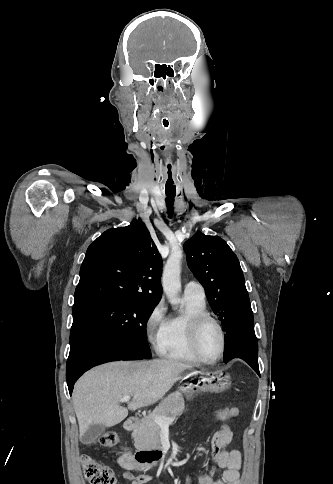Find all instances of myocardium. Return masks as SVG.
<instances>
[{"label":"myocardium","mask_w":333,"mask_h":484,"mask_svg":"<svg viewBox=\"0 0 333 484\" xmlns=\"http://www.w3.org/2000/svg\"><path fill=\"white\" fill-rule=\"evenodd\" d=\"M207 323H213L217 327L219 334H220V339H221V347H220L219 353L217 354L216 357L211 358V359L205 357L202 354L200 347H199V336H200L202 328ZM189 340H190V345H191V348H192L194 354L204 363H214V362L218 361L219 359H221L222 356L224 355L225 348H226L225 330H224L222 324L219 322V320H217L215 317H213L212 315H210L208 313L198 315L191 320L190 326H189Z\"/></svg>","instance_id":"obj_1"}]
</instances>
